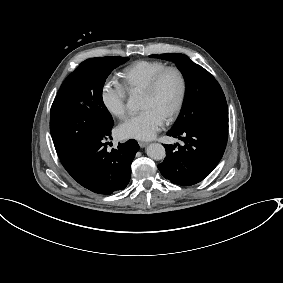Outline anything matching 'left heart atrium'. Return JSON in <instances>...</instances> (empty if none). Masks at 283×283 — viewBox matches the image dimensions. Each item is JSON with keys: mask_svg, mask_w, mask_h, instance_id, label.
Wrapping results in <instances>:
<instances>
[{"mask_svg": "<svg viewBox=\"0 0 283 283\" xmlns=\"http://www.w3.org/2000/svg\"><path fill=\"white\" fill-rule=\"evenodd\" d=\"M164 121L165 116L154 109L146 108L120 124L117 128V136L121 139H151L163 126Z\"/></svg>", "mask_w": 283, "mask_h": 283, "instance_id": "1", "label": "left heart atrium"}]
</instances>
